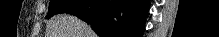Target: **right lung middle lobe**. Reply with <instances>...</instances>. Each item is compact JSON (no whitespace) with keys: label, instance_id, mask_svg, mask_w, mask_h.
I'll list each match as a JSON object with an SVG mask.
<instances>
[{"label":"right lung middle lobe","instance_id":"dd1d6c3e","mask_svg":"<svg viewBox=\"0 0 219 37\" xmlns=\"http://www.w3.org/2000/svg\"><path fill=\"white\" fill-rule=\"evenodd\" d=\"M79 1L81 0H51L46 18L49 19L56 14L64 13L69 7L77 4Z\"/></svg>","mask_w":219,"mask_h":37}]
</instances>
